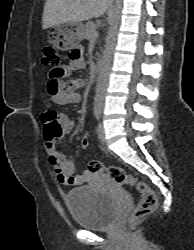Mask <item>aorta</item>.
<instances>
[{"label": "aorta", "mask_w": 194, "mask_h": 250, "mask_svg": "<svg viewBox=\"0 0 194 250\" xmlns=\"http://www.w3.org/2000/svg\"><path fill=\"white\" fill-rule=\"evenodd\" d=\"M121 8H122L121 0H116L113 13L111 16L110 28L106 38L105 49L100 63L99 75L97 79L96 94L94 98V113L96 114L101 113L103 108L110 65L114 53V48L116 44V38L120 23Z\"/></svg>", "instance_id": "aorta-1"}]
</instances>
